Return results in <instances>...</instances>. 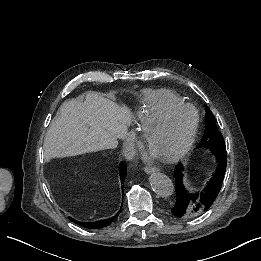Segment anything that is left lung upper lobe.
Listing matches in <instances>:
<instances>
[{
  "label": "left lung upper lobe",
  "mask_w": 261,
  "mask_h": 261,
  "mask_svg": "<svg viewBox=\"0 0 261 261\" xmlns=\"http://www.w3.org/2000/svg\"><path fill=\"white\" fill-rule=\"evenodd\" d=\"M197 148H206L213 152L226 151L225 142L222 134L217 130L214 116L212 112H206V127L203 139L198 144Z\"/></svg>",
  "instance_id": "5c2ea615"
}]
</instances>
